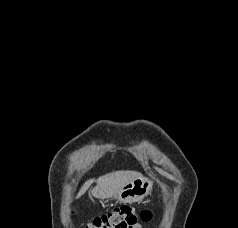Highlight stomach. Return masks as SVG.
Segmentation results:
<instances>
[{
	"label": "stomach",
	"mask_w": 238,
	"mask_h": 228,
	"mask_svg": "<svg viewBox=\"0 0 238 228\" xmlns=\"http://www.w3.org/2000/svg\"><path fill=\"white\" fill-rule=\"evenodd\" d=\"M153 182L147 177H139L127 183L113 198L121 203H133L141 201L151 193Z\"/></svg>",
	"instance_id": "1"
}]
</instances>
